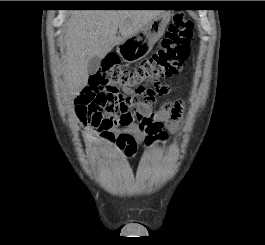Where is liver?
I'll return each instance as SVG.
<instances>
[{"mask_svg": "<svg viewBox=\"0 0 265 245\" xmlns=\"http://www.w3.org/2000/svg\"><path fill=\"white\" fill-rule=\"evenodd\" d=\"M159 10H75L64 35V82L74 98L88 83L87 65L92 57L106 56L115 45L138 33ZM119 30L120 35L117 36Z\"/></svg>", "mask_w": 265, "mask_h": 245, "instance_id": "liver-1", "label": "liver"}]
</instances>
